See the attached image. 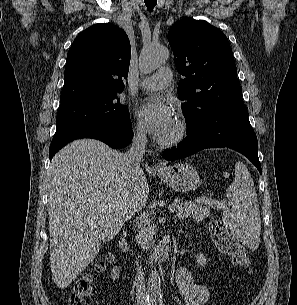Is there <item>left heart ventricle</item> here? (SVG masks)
Masks as SVG:
<instances>
[{
    "mask_svg": "<svg viewBox=\"0 0 297 305\" xmlns=\"http://www.w3.org/2000/svg\"><path fill=\"white\" fill-rule=\"evenodd\" d=\"M175 129H176V122H175V124L173 125L172 129H171V130L167 133V135L164 136L162 139L169 138V137L174 133Z\"/></svg>",
    "mask_w": 297,
    "mask_h": 305,
    "instance_id": "obj_1",
    "label": "left heart ventricle"
}]
</instances>
